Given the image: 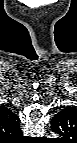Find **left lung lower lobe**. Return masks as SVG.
I'll return each instance as SVG.
<instances>
[{
	"label": "left lung lower lobe",
	"mask_w": 77,
	"mask_h": 143,
	"mask_svg": "<svg viewBox=\"0 0 77 143\" xmlns=\"http://www.w3.org/2000/svg\"><path fill=\"white\" fill-rule=\"evenodd\" d=\"M75 114V110L73 108L67 107L63 110H61L57 115H55L51 121V127L52 124H63L62 122L66 120L68 122L72 119V116Z\"/></svg>",
	"instance_id": "left-lung-lower-lobe-1"
}]
</instances>
